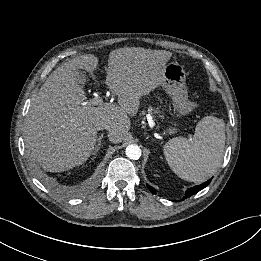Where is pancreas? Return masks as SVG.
<instances>
[{
	"instance_id": "pancreas-1",
	"label": "pancreas",
	"mask_w": 261,
	"mask_h": 261,
	"mask_svg": "<svg viewBox=\"0 0 261 261\" xmlns=\"http://www.w3.org/2000/svg\"><path fill=\"white\" fill-rule=\"evenodd\" d=\"M148 113L153 114V113H155V111L153 110L152 107H149V108H148Z\"/></svg>"
}]
</instances>
